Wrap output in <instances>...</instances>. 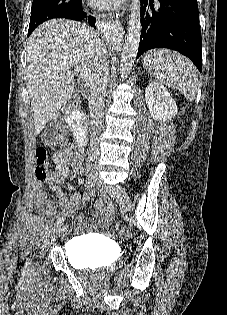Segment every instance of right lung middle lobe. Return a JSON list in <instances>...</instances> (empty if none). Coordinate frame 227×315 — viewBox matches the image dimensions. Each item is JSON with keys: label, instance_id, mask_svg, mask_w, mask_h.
I'll use <instances>...</instances> for the list:
<instances>
[{"label": "right lung middle lobe", "instance_id": "dd1d6c3e", "mask_svg": "<svg viewBox=\"0 0 227 315\" xmlns=\"http://www.w3.org/2000/svg\"><path fill=\"white\" fill-rule=\"evenodd\" d=\"M79 2L80 0H33L28 36L47 20L67 17L69 10Z\"/></svg>", "mask_w": 227, "mask_h": 315}]
</instances>
